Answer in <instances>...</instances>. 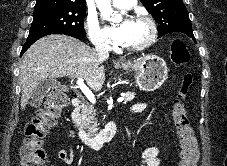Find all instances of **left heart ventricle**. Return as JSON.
<instances>
[{"mask_svg": "<svg viewBox=\"0 0 227 166\" xmlns=\"http://www.w3.org/2000/svg\"><path fill=\"white\" fill-rule=\"evenodd\" d=\"M148 36L147 25L138 20L130 21V29L125 45H134L143 42Z\"/></svg>", "mask_w": 227, "mask_h": 166, "instance_id": "left-heart-ventricle-1", "label": "left heart ventricle"}]
</instances>
